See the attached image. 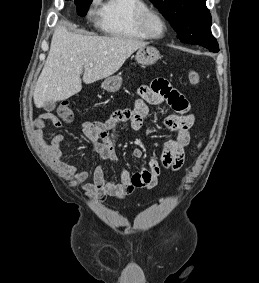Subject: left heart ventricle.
I'll return each mask as SVG.
<instances>
[{"instance_id":"b2bd125f","label":"left heart ventricle","mask_w":259,"mask_h":283,"mask_svg":"<svg viewBox=\"0 0 259 283\" xmlns=\"http://www.w3.org/2000/svg\"><path fill=\"white\" fill-rule=\"evenodd\" d=\"M151 29L154 34L161 35L164 32V26L158 19H154L151 23Z\"/></svg>"}]
</instances>
